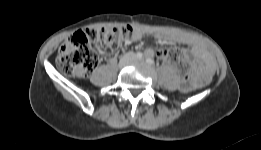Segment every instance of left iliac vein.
I'll return each mask as SVG.
<instances>
[{"label": "left iliac vein", "instance_id": "1", "mask_svg": "<svg viewBox=\"0 0 261 150\" xmlns=\"http://www.w3.org/2000/svg\"><path fill=\"white\" fill-rule=\"evenodd\" d=\"M137 61H139V62H143V61H144V59L140 58V59H138Z\"/></svg>", "mask_w": 261, "mask_h": 150}]
</instances>
